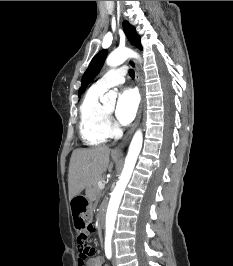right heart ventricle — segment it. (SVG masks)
I'll return each instance as SVG.
<instances>
[{
    "label": "right heart ventricle",
    "instance_id": "e07e8e85",
    "mask_svg": "<svg viewBox=\"0 0 233 266\" xmlns=\"http://www.w3.org/2000/svg\"><path fill=\"white\" fill-rule=\"evenodd\" d=\"M104 92L95 85L91 86L80 105L79 132L82 141L90 146L103 144L108 138L107 114L100 102Z\"/></svg>",
    "mask_w": 233,
    "mask_h": 266
}]
</instances>
